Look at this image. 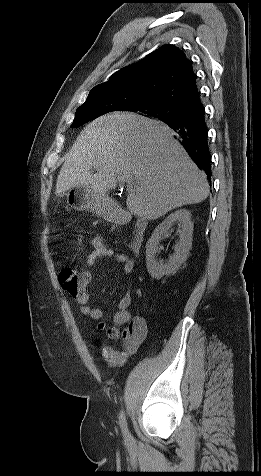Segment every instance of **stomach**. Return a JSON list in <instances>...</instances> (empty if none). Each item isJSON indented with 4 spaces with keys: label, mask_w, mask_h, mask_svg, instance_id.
Masks as SVG:
<instances>
[{
    "label": "stomach",
    "mask_w": 261,
    "mask_h": 476,
    "mask_svg": "<svg viewBox=\"0 0 261 476\" xmlns=\"http://www.w3.org/2000/svg\"><path fill=\"white\" fill-rule=\"evenodd\" d=\"M67 203L77 210H88L107 219H115L112 200L107 195L94 191L89 186L71 188L66 193Z\"/></svg>",
    "instance_id": "0dacf381"
}]
</instances>
